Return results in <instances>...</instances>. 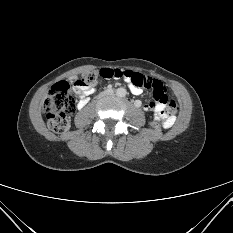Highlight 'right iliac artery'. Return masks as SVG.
<instances>
[{
  "mask_svg": "<svg viewBox=\"0 0 233 233\" xmlns=\"http://www.w3.org/2000/svg\"><path fill=\"white\" fill-rule=\"evenodd\" d=\"M135 104H136V106H139V105H140V102H139V101H136Z\"/></svg>",
  "mask_w": 233,
  "mask_h": 233,
  "instance_id": "82829eb1",
  "label": "right iliac artery"
}]
</instances>
